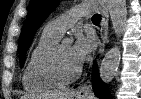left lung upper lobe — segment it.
Instances as JSON below:
<instances>
[{"mask_svg": "<svg viewBox=\"0 0 141 99\" xmlns=\"http://www.w3.org/2000/svg\"><path fill=\"white\" fill-rule=\"evenodd\" d=\"M59 0H30L28 15L24 22L20 40L19 55L21 67L25 62V55L32 42L36 30L48 17V15L58 6Z\"/></svg>", "mask_w": 141, "mask_h": 99, "instance_id": "left-lung-upper-lobe-1", "label": "left lung upper lobe"}]
</instances>
